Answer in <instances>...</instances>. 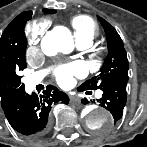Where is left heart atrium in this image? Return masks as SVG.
Wrapping results in <instances>:
<instances>
[{
	"mask_svg": "<svg viewBox=\"0 0 147 147\" xmlns=\"http://www.w3.org/2000/svg\"><path fill=\"white\" fill-rule=\"evenodd\" d=\"M83 74L84 66L80 62H75L59 68L55 77L61 86L68 87L73 83L74 77L82 76Z\"/></svg>",
	"mask_w": 147,
	"mask_h": 147,
	"instance_id": "1",
	"label": "left heart atrium"
}]
</instances>
